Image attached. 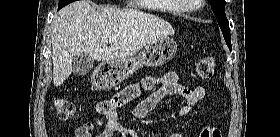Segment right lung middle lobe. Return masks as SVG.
Here are the masks:
<instances>
[{
    "mask_svg": "<svg viewBox=\"0 0 280 137\" xmlns=\"http://www.w3.org/2000/svg\"><path fill=\"white\" fill-rule=\"evenodd\" d=\"M75 0H59L58 10Z\"/></svg>",
    "mask_w": 280,
    "mask_h": 137,
    "instance_id": "dd1d6c3e",
    "label": "right lung middle lobe"
}]
</instances>
